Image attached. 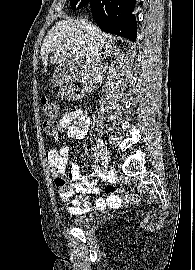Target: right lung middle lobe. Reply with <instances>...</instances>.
Here are the masks:
<instances>
[{"label": "right lung middle lobe", "instance_id": "right-lung-middle-lobe-1", "mask_svg": "<svg viewBox=\"0 0 195 270\" xmlns=\"http://www.w3.org/2000/svg\"><path fill=\"white\" fill-rule=\"evenodd\" d=\"M81 1L82 0H70L71 8L75 10L76 7L77 9L84 7L86 4H84L83 2L81 3Z\"/></svg>", "mask_w": 195, "mask_h": 270}]
</instances>
